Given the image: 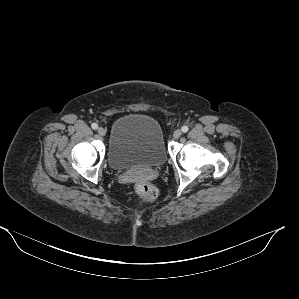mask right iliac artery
I'll use <instances>...</instances> for the list:
<instances>
[{"label": "right iliac artery", "instance_id": "right-iliac-artery-1", "mask_svg": "<svg viewBox=\"0 0 299 299\" xmlns=\"http://www.w3.org/2000/svg\"><path fill=\"white\" fill-rule=\"evenodd\" d=\"M91 127H92V129L96 130V129L98 128V125H97L96 123H93V124L91 125Z\"/></svg>", "mask_w": 299, "mask_h": 299}]
</instances>
